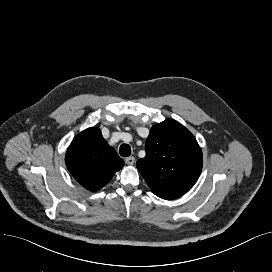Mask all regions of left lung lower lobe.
Returning <instances> with one entry per match:
<instances>
[{
	"label": "left lung lower lobe",
	"instance_id": "1",
	"mask_svg": "<svg viewBox=\"0 0 272 272\" xmlns=\"http://www.w3.org/2000/svg\"><path fill=\"white\" fill-rule=\"evenodd\" d=\"M157 196L160 197V198L166 199V200H172V199H174V197L167 196V195H157Z\"/></svg>",
	"mask_w": 272,
	"mask_h": 272
}]
</instances>
